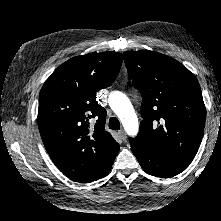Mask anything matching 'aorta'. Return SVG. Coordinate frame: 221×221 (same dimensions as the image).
Returning <instances> with one entry per match:
<instances>
[{
  "instance_id": "1",
  "label": "aorta",
  "mask_w": 221,
  "mask_h": 221,
  "mask_svg": "<svg viewBox=\"0 0 221 221\" xmlns=\"http://www.w3.org/2000/svg\"><path fill=\"white\" fill-rule=\"evenodd\" d=\"M108 103L120 119L126 133L130 136L137 135L139 122L129 98L120 91H112L109 94Z\"/></svg>"
}]
</instances>
